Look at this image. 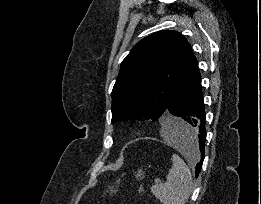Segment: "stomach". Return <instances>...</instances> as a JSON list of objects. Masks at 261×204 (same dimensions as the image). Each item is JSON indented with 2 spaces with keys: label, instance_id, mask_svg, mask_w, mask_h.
<instances>
[{
  "label": "stomach",
  "instance_id": "stomach-1",
  "mask_svg": "<svg viewBox=\"0 0 261 204\" xmlns=\"http://www.w3.org/2000/svg\"><path fill=\"white\" fill-rule=\"evenodd\" d=\"M137 178H143V173H142V170H139L137 175H136ZM109 190L111 193L115 192V190L113 189V187H109Z\"/></svg>",
  "mask_w": 261,
  "mask_h": 204
}]
</instances>
